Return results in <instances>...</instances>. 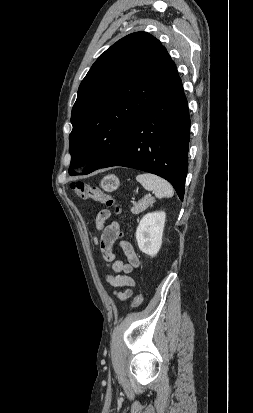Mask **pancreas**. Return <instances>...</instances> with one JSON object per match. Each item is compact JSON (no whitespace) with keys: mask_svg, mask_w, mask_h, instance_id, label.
Wrapping results in <instances>:
<instances>
[{"mask_svg":"<svg viewBox=\"0 0 253 413\" xmlns=\"http://www.w3.org/2000/svg\"><path fill=\"white\" fill-rule=\"evenodd\" d=\"M155 202L154 198L144 197L139 202H134L133 207H131V212L133 214H139L146 210L149 206H152Z\"/></svg>","mask_w":253,"mask_h":413,"instance_id":"1","label":"pancreas"}]
</instances>
